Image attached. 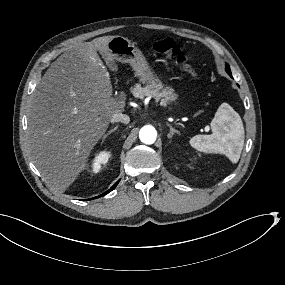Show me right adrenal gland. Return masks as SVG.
<instances>
[{
	"label": "right adrenal gland",
	"mask_w": 285,
	"mask_h": 285,
	"mask_svg": "<svg viewBox=\"0 0 285 285\" xmlns=\"http://www.w3.org/2000/svg\"><path fill=\"white\" fill-rule=\"evenodd\" d=\"M117 128H118V126H115L113 129L109 130L108 133L103 136L102 143L105 141V139H106L112 132L116 131Z\"/></svg>",
	"instance_id": "1"
}]
</instances>
